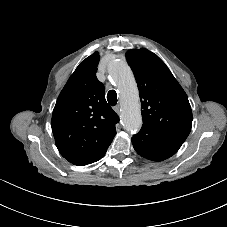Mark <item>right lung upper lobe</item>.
Wrapping results in <instances>:
<instances>
[{
    "instance_id": "cb5924a9",
    "label": "right lung upper lobe",
    "mask_w": 227,
    "mask_h": 227,
    "mask_svg": "<svg viewBox=\"0 0 227 227\" xmlns=\"http://www.w3.org/2000/svg\"><path fill=\"white\" fill-rule=\"evenodd\" d=\"M99 59V53L94 52L78 65L52 113L56 146L64 158L78 166L96 162L105 155L119 122L96 77Z\"/></svg>"
}]
</instances>
